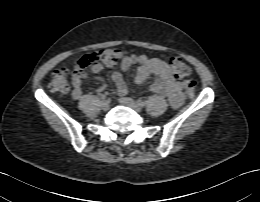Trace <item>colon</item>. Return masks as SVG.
<instances>
[{"label":"colon","mask_w":260,"mask_h":202,"mask_svg":"<svg viewBox=\"0 0 260 202\" xmlns=\"http://www.w3.org/2000/svg\"><path fill=\"white\" fill-rule=\"evenodd\" d=\"M121 52L116 48H105L99 51L86 54L81 57L72 67L63 66L53 72L49 89L54 92L67 93L70 89L69 77L71 74L75 75L85 72L88 68H93L96 65H104L112 67L116 65L120 58ZM169 65L173 73L179 77L184 78L191 74V68L180 58L172 57L169 60ZM184 87L187 95L190 98L195 96L196 82L193 79H186Z\"/></svg>","instance_id":"5ec220e1"}]
</instances>
